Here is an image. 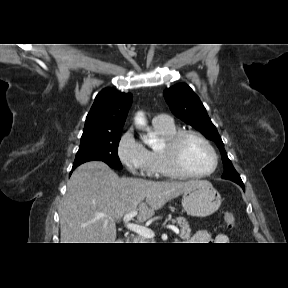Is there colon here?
<instances>
[{
    "mask_svg": "<svg viewBox=\"0 0 288 288\" xmlns=\"http://www.w3.org/2000/svg\"><path fill=\"white\" fill-rule=\"evenodd\" d=\"M223 222L227 229H233L235 226V216L230 211L223 212Z\"/></svg>",
    "mask_w": 288,
    "mask_h": 288,
    "instance_id": "obj_1",
    "label": "colon"
}]
</instances>
